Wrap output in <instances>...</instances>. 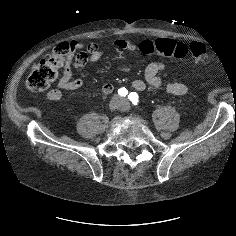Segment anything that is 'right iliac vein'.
<instances>
[{
    "label": "right iliac vein",
    "instance_id": "right-iliac-vein-1",
    "mask_svg": "<svg viewBox=\"0 0 236 236\" xmlns=\"http://www.w3.org/2000/svg\"><path fill=\"white\" fill-rule=\"evenodd\" d=\"M110 109L111 110H115L117 109L118 107H120V102L117 100V99H114L110 105H109Z\"/></svg>",
    "mask_w": 236,
    "mask_h": 236
}]
</instances>
